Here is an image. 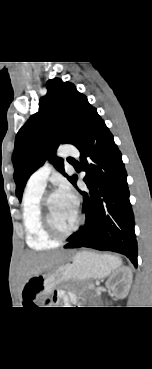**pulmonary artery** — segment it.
<instances>
[{
    "label": "pulmonary artery",
    "mask_w": 152,
    "mask_h": 369,
    "mask_svg": "<svg viewBox=\"0 0 152 369\" xmlns=\"http://www.w3.org/2000/svg\"><path fill=\"white\" fill-rule=\"evenodd\" d=\"M58 155L62 157L77 156L78 150L72 145L65 144L59 148ZM50 172V164L46 162L31 174L27 182V187L33 189H44Z\"/></svg>",
    "instance_id": "obj_1"
}]
</instances>
